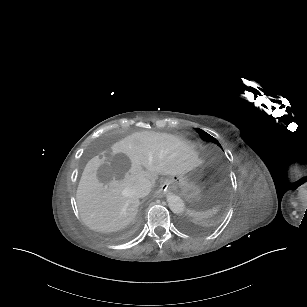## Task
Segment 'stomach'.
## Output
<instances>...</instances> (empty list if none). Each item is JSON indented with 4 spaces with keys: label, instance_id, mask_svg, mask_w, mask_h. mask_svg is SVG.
Returning <instances> with one entry per match:
<instances>
[{
    "label": "stomach",
    "instance_id": "1",
    "mask_svg": "<svg viewBox=\"0 0 307 307\" xmlns=\"http://www.w3.org/2000/svg\"><path fill=\"white\" fill-rule=\"evenodd\" d=\"M199 176V168H194L189 173L174 175L168 178L167 183L170 188L179 190L183 194L190 193L196 189V181Z\"/></svg>",
    "mask_w": 307,
    "mask_h": 307
}]
</instances>
